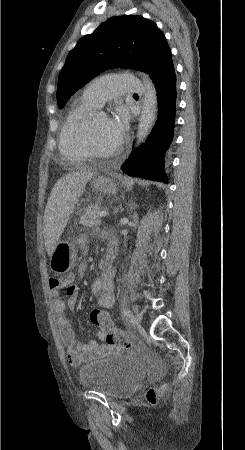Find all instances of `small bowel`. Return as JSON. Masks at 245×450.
<instances>
[{
    "label": "small bowel",
    "mask_w": 245,
    "mask_h": 450,
    "mask_svg": "<svg viewBox=\"0 0 245 450\" xmlns=\"http://www.w3.org/2000/svg\"><path fill=\"white\" fill-rule=\"evenodd\" d=\"M85 241L86 238L84 236L78 238L79 244H83ZM116 248L117 243L112 239L107 253L110 259L115 254ZM78 273L79 275H83L84 268L80 267ZM114 275L115 269L111 266L108 271L104 272L102 276L97 278L92 284V292L97 297V305L100 309H109L115 303ZM73 279V275H69L65 281H60L57 278H50L49 288L53 298L52 308L56 315L61 340L66 350L68 362L72 366L77 367L96 355L106 353L110 348L99 345L95 340H90L86 343L77 341L70 320L66 315V309H73L78 297L82 294V290L72 283ZM63 293L65 294L66 299L63 298ZM98 337L101 340L104 339V333L101 329L98 331Z\"/></svg>",
    "instance_id": "c3829d8e"
}]
</instances>
